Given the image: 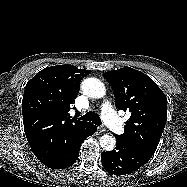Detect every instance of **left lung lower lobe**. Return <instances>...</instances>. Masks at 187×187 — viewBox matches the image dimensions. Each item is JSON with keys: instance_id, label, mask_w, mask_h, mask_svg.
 I'll list each match as a JSON object with an SVG mask.
<instances>
[{"instance_id": "0a47b994", "label": "left lung lower lobe", "mask_w": 187, "mask_h": 187, "mask_svg": "<svg viewBox=\"0 0 187 187\" xmlns=\"http://www.w3.org/2000/svg\"><path fill=\"white\" fill-rule=\"evenodd\" d=\"M116 147L112 151L102 152L104 168L115 175L131 174L147 163L152 154L126 146L116 135Z\"/></svg>"}]
</instances>
